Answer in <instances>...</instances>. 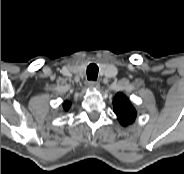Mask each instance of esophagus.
Returning <instances> with one entry per match:
<instances>
[{
    "mask_svg": "<svg viewBox=\"0 0 184 174\" xmlns=\"http://www.w3.org/2000/svg\"><path fill=\"white\" fill-rule=\"evenodd\" d=\"M88 86L90 89H98L100 84L97 81H89Z\"/></svg>",
    "mask_w": 184,
    "mask_h": 174,
    "instance_id": "obj_1",
    "label": "esophagus"
}]
</instances>
